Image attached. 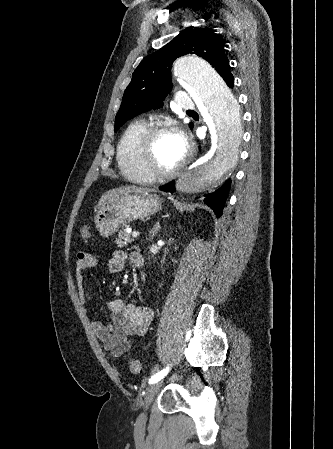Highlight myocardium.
I'll return each instance as SVG.
<instances>
[{
	"label": "myocardium",
	"instance_id": "1",
	"mask_svg": "<svg viewBox=\"0 0 333 449\" xmlns=\"http://www.w3.org/2000/svg\"><path fill=\"white\" fill-rule=\"evenodd\" d=\"M163 132H173L176 130L165 122H155L147 126L140 141V162L143 171L152 179L164 181L174 178L188 163L189 154H185L181 162L172 170L163 171L158 169L154 164V145L158 135Z\"/></svg>",
	"mask_w": 333,
	"mask_h": 449
}]
</instances>
